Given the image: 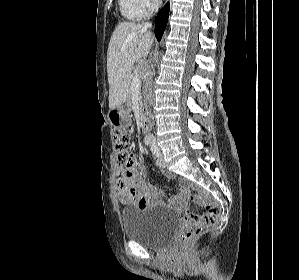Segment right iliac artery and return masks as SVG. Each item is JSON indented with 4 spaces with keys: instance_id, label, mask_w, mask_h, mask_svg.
<instances>
[{
    "instance_id": "right-iliac-artery-1",
    "label": "right iliac artery",
    "mask_w": 299,
    "mask_h": 280,
    "mask_svg": "<svg viewBox=\"0 0 299 280\" xmlns=\"http://www.w3.org/2000/svg\"><path fill=\"white\" fill-rule=\"evenodd\" d=\"M151 143H152L151 139H146V140H145V144H146V145H150Z\"/></svg>"
}]
</instances>
